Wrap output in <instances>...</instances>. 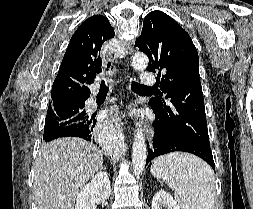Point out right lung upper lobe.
Segmentation results:
<instances>
[{"mask_svg": "<svg viewBox=\"0 0 253 209\" xmlns=\"http://www.w3.org/2000/svg\"><path fill=\"white\" fill-rule=\"evenodd\" d=\"M115 35L108 19L94 15L73 34L52 86L49 108L85 103L90 97L89 84L102 71L100 50Z\"/></svg>", "mask_w": 253, "mask_h": 209, "instance_id": "cb5924a9", "label": "right lung upper lobe"}]
</instances>
